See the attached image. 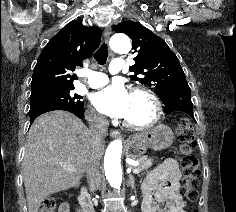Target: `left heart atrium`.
Here are the masks:
<instances>
[{
	"instance_id": "39dd6f15",
	"label": "left heart atrium",
	"mask_w": 236,
	"mask_h": 212,
	"mask_svg": "<svg viewBox=\"0 0 236 212\" xmlns=\"http://www.w3.org/2000/svg\"><path fill=\"white\" fill-rule=\"evenodd\" d=\"M131 95L122 84L105 87L92 97L93 104L103 114L113 118H126Z\"/></svg>"
}]
</instances>
